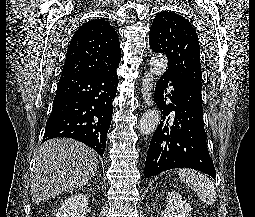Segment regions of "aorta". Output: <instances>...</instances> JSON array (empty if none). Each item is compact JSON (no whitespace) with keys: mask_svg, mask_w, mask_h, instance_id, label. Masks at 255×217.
I'll use <instances>...</instances> for the list:
<instances>
[{"mask_svg":"<svg viewBox=\"0 0 255 217\" xmlns=\"http://www.w3.org/2000/svg\"><path fill=\"white\" fill-rule=\"evenodd\" d=\"M168 66L167 58L162 54L154 55L150 60V71L156 76L162 75ZM160 122V112L157 109L147 110L141 117L139 131L143 135L153 133Z\"/></svg>","mask_w":255,"mask_h":217,"instance_id":"1","label":"aorta"}]
</instances>
